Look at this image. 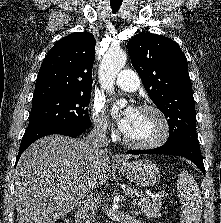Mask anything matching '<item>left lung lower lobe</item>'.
<instances>
[{"instance_id": "0a47b994", "label": "left lung lower lobe", "mask_w": 221, "mask_h": 223, "mask_svg": "<svg viewBox=\"0 0 221 223\" xmlns=\"http://www.w3.org/2000/svg\"><path fill=\"white\" fill-rule=\"evenodd\" d=\"M127 154H166L188 158L205 174L197 137H184L150 150H129Z\"/></svg>"}]
</instances>
